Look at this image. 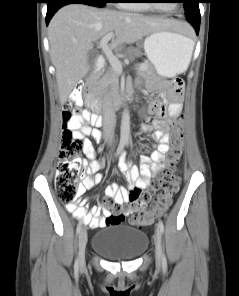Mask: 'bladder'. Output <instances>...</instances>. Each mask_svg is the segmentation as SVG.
Returning <instances> with one entry per match:
<instances>
[{
	"mask_svg": "<svg viewBox=\"0 0 239 296\" xmlns=\"http://www.w3.org/2000/svg\"><path fill=\"white\" fill-rule=\"evenodd\" d=\"M148 237L129 225H113L97 232L92 249L109 261H132L145 252Z\"/></svg>",
	"mask_w": 239,
	"mask_h": 296,
	"instance_id": "bladder-1",
	"label": "bladder"
}]
</instances>
